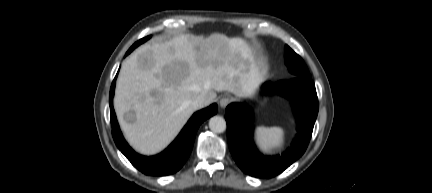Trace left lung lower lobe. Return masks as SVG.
Masks as SVG:
<instances>
[{"label": "left lung lower lobe", "mask_w": 432, "mask_h": 193, "mask_svg": "<svg viewBox=\"0 0 432 193\" xmlns=\"http://www.w3.org/2000/svg\"><path fill=\"white\" fill-rule=\"evenodd\" d=\"M266 93H278L291 100L298 121V134L292 148L281 156H264L252 141V113L239 103L226 108L227 138L231 154L248 175L270 178L283 172L306 150L318 114V99L311 77H293L263 86Z\"/></svg>", "instance_id": "0a47b994"}]
</instances>
